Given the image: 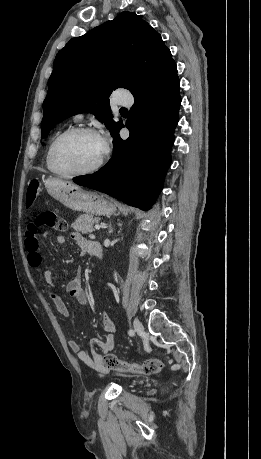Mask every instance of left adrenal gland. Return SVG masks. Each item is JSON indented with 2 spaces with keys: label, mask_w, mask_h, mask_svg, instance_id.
Listing matches in <instances>:
<instances>
[{
  "label": "left adrenal gland",
  "mask_w": 261,
  "mask_h": 459,
  "mask_svg": "<svg viewBox=\"0 0 261 459\" xmlns=\"http://www.w3.org/2000/svg\"><path fill=\"white\" fill-rule=\"evenodd\" d=\"M113 232V228H112V225H111V222H110V225H109V233H112Z\"/></svg>",
  "instance_id": "1"
}]
</instances>
